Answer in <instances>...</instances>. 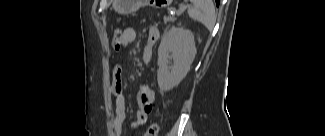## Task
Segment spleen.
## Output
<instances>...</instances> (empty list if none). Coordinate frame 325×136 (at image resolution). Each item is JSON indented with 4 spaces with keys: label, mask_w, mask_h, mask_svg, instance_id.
Listing matches in <instances>:
<instances>
[{
    "label": "spleen",
    "mask_w": 325,
    "mask_h": 136,
    "mask_svg": "<svg viewBox=\"0 0 325 136\" xmlns=\"http://www.w3.org/2000/svg\"><path fill=\"white\" fill-rule=\"evenodd\" d=\"M188 15L212 31L216 22L215 7L212 0H193Z\"/></svg>",
    "instance_id": "spleen-1"
}]
</instances>
